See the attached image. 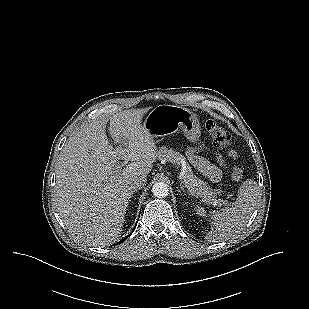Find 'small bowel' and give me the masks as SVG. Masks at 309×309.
I'll return each mask as SVG.
<instances>
[{"instance_id":"c3829d8e","label":"small bowel","mask_w":309,"mask_h":309,"mask_svg":"<svg viewBox=\"0 0 309 309\" xmlns=\"http://www.w3.org/2000/svg\"><path fill=\"white\" fill-rule=\"evenodd\" d=\"M228 155L232 159H236L238 157V154L235 150H230ZM215 156L219 167L213 166L206 161L200 160L198 157H195V163L210 181L217 183L221 180L222 169L227 167V163L221 154L215 153Z\"/></svg>"}]
</instances>
